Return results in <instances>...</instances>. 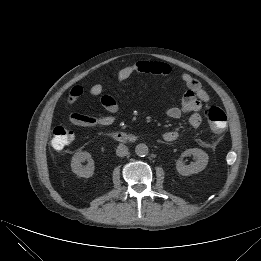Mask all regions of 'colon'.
<instances>
[{
    "label": "colon",
    "instance_id": "5ec220e1",
    "mask_svg": "<svg viewBox=\"0 0 261 261\" xmlns=\"http://www.w3.org/2000/svg\"><path fill=\"white\" fill-rule=\"evenodd\" d=\"M204 116L210 127L216 132L221 133L226 128L227 117L224 111L216 105H209L204 110ZM74 141L73 132L63 126L53 129L51 144L53 148L63 149Z\"/></svg>",
    "mask_w": 261,
    "mask_h": 261
}]
</instances>
